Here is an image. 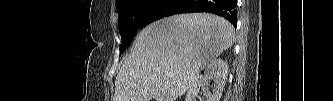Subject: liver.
Returning <instances> with one entry per match:
<instances>
[{
  "label": "liver",
  "mask_w": 333,
  "mask_h": 101,
  "mask_svg": "<svg viewBox=\"0 0 333 101\" xmlns=\"http://www.w3.org/2000/svg\"><path fill=\"white\" fill-rule=\"evenodd\" d=\"M234 37L231 23L209 13L151 23L137 35L117 74L114 101H176L210 62L232 46Z\"/></svg>",
  "instance_id": "liver-1"
}]
</instances>
